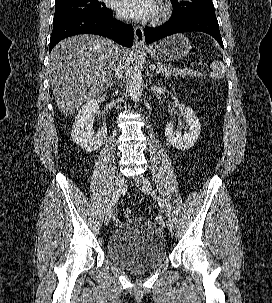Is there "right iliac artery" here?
Segmentation results:
<instances>
[{
  "label": "right iliac artery",
  "mask_w": 272,
  "mask_h": 303,
  "mask_svg": "<svg viewBox=\"0 0 272 303\" xmlns=\"http://www.w3.org/2000/svg\"><path fill=\"white\" fill-rule=\"evenodd\" d=\"M119 196H113L108 207H107V210L105 211V214L106 215H109L110 214V211L112 210V205H114L116 203V201L118 200Z\"/></svg>",
  "instance_id": "obj_1"
}]
</instances>
